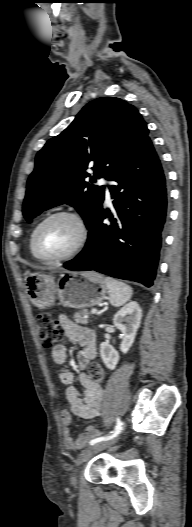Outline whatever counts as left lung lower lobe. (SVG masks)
Here are the masks:
<instances>
[{"label":"left lung lower lobe","mask_w":192,"mask_h":527,"mask_svg":"<svg viewBox=\"0 0 192 527\" xmlns=\"http://www.w3.org/2000/svg\"><path fill=\"white\" fill-rule=\"evenodd\" d=\"M109 187L114 215L101 206L84 249L64 263L150 287L156 276L167 212L165 174L151 140L145 141ZM108 217L109 224L103 220Z\"/></svg>","instance_id":"1"}]
</instances>
